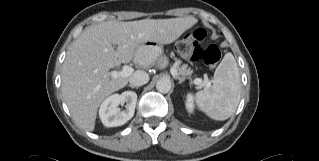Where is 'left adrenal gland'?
Listing matches in <instances>:
<instances>
[{"instance_id": "obj_1", "label": "left adrenal gland", "mask_w": 319, "mask_h": 161, "mask_svg": "<svg viewBox=\"0 0 319 161\" xmlns=\"http://www.w3.org/2000/svg\"><path fill=\"white\" fill-rule=\"evenodd\" d=\"M175 79L179 80V84L183 83L185 78H181V77H175Z\"/></svg>"}]
</instances>
